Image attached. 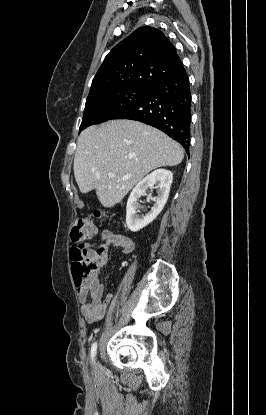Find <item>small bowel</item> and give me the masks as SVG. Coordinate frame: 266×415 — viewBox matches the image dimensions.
<instances>
[{
	"label": "small bowel",
	"mask_w": 266,
	"mask_h": 415,
	"mask_svg": "<svg viewBox=\"0 0 266 415\" xmlns=\"http://www.w3.org/2000/svg\"><path fill=\"white\" fill-rule=\"evenodd\" d=\"M115 246L124 254L134 250L131 238L106 229L101 234V241L85 245L84 249L90 261L104 267L109 262V248ZM104 285L96 274L91 275L82 285L78 286L77 293L81 304V312L88 322H96L104 317L113 300L111 293L102 298Z\"/></svg>",
	"instance_id": "1"
}]
</instances>
